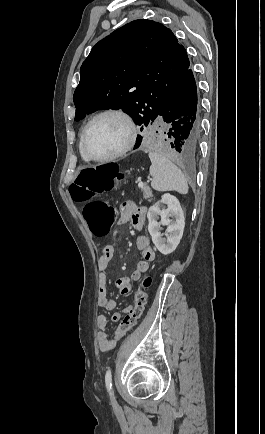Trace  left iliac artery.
Listing matches in <instances>:
<instances>
[{"label":"left iliac artery","instance_id":"obj_1","mask_svg":"<svg viewBox=\"0 0 265 434\" xmlns=\"http://www.w3.org/2000/svg\"><path fill=\"white\" fill-rule=\"evenodd\" d=\"M105 383L107 390L109 391L110 395H112V374L110 369H108L106 372Z\"/></svg>","mask_w":265,"mask_h":434}]
</instances>
